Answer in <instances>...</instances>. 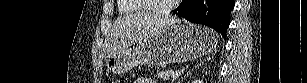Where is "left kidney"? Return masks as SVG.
<instances>
[{"label": "left kidney", "mask_w": 307, "mask_h": 83, "mask_svg": "<svg viewBox=\"0 0 307 83\" xmlns=\"http://www.w3.org/2000/svg\"><path fill=\"white\" fill-rule=\"evenodd\" d=\"M193 83H203V81H201V80H195V81H193Z\"/></svg>", "instance_id": "1"}]
</instances>
